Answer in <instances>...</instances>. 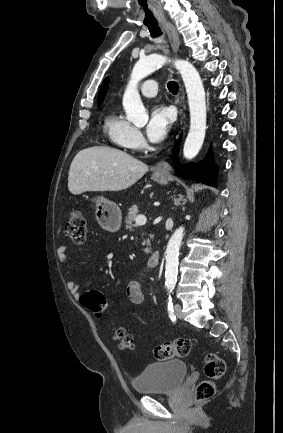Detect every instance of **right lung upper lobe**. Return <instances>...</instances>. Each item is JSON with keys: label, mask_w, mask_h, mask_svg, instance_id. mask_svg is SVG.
Listing matches in <instances>:
<instances>
[{"label": "right lung upper lobe", "mask_w": 283, "mask_h": 433, "mask_svg": "<svg viewBox=\"0 0 283 433\" xmlns=\"http://www.w3.org/2000/svg\"><path fill=\"white\" fill-rule=\"evenodd\" d=\"M107 88H108V79L106 78L101 85V89L98 96V106H100L103 103L104 97L107 93Z\"/></svg>", "instance_id": "1"}]
</instances>
